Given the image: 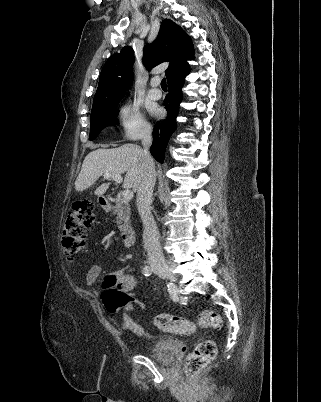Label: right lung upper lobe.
Here are the masks:
<instances>
[{"label": "right lung upper lobe", "instance_id": "obj_1", "mask_svg": "<svg viewBox=\"0 0 321 402\" xmlns=\"http://www.w3.org/2000/svg\"><path fill=\"white\" fill-rule=\"evenodd\" d=\"M190 37L173 21L165 19L156 40L144 47L143 63L147 69L169 61L166 70L167 81L189 70L187 60L193 58ZM133 50L124 47L113 54L104 64L99 85L94 96L93 107L107 105L122 98L124 88L133 81ZM92 107V108H93Z\"/></svg>", "mask_w": 321, "mask_h": 402}]
</instances>
